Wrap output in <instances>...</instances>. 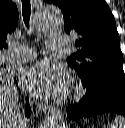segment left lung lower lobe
<instances>
[{
    "label": "left lung lower lobe",
    "instance_id": "obj_1",
    "mask_svg": "<svg viewBox=\"0 0 125 128\" xmlns=\"http://www.w3.org/2000/svg\"><path fill=\"white\" fill-rule=\"evenodd\" d=\"M82 84L86 94L67 108L68 122L108 112L125 116V77L114 78L96 90Z\"/></svg>",
    "mask_w": 125,
    "mask_h": 128
}]
</instances>
